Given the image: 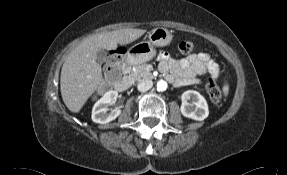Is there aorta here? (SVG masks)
Listing matches in <instances>:
<instances>
[{"label":"aorta","mask_w":287,"mask_h":175,"mask_svg":"<svg viewBox=\"0 0 287 175\" xmlns=\"http://www.w3.org/2000/svg\"><path fill=\"white\" fill-rule=\"evenodd\" d=\"M168 85L167 82L164 80H160L157 82V90L158 91H165L167 89Z\"/></svg>","instance_id":"1"}]
</instances>
